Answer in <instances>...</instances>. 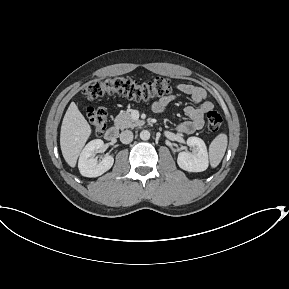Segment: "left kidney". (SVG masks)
Listing matches in <instances>:
<instances>
[{
  "instance_id": "5707ae66",
  "label": "left kidney",
  "mask_w": 289,
  "mask_h": 289,
  "mask_svg": "<svg viewBox=\"0 0 289 289\" xmlns=\"http://www.w3.org/2000/svg\"><path fill=\"white\" fill-rule=\"evenodd\" d=\"M187 145L192 152L184 151L178 154L179 167L188 172H202L208 168V152L205 142L198 137H189Z\"/></svg>"
}]
</instances>
